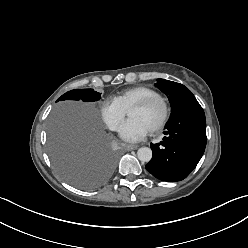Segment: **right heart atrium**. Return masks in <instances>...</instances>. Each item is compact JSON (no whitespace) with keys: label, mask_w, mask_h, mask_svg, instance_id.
<instances>
[{"label":"right heart atrium","mask_w":248,"mask_h":248,"mask_svg":"<svg viewBox=\"0 0 248 248\" xmlns=\"http://www.w3.org/2000/svg\"><path fill=\"white\" fill-rule=\"evenodd\" d=\"M99 112L105 125L112 131L120 128L126 115V111L113 100H104L99 106Z\"/></svg>","instance_id":"right-heart-atrium-1"}]
</instances>
